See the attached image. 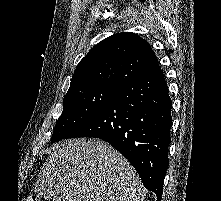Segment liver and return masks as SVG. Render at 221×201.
Listing matches in <instances>:
<instances>
[{"label": "liver", "mask_w": 221, "mask_h": 201, "mask_svg": "<svg viewBox=\"0 0 221 201\" xmlns=\"http://www.w3.org/2000/svg\"><path fill=\"white\" fill-rule=\"evenodd\" d=\"M39 194L53 201H144L140 177L124 156L98 139L59 143L44 163Z\"/></svg>", "instance_id": "6515ba94"}]
</instances>
